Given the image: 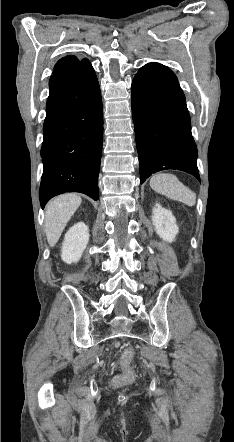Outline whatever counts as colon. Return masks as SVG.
Instances as JSON below:
<instances>
[{"instance_id": "colon-1", "label": "colon", "mask_w": 234, "mask_h": 442, "mask_svg": "<svg viewBox=\"0 0 234 442\" xmlns=\"http://www.w3.org/2000/svg\"><path fill=\"white\" fill-rule=\"evenodd\" d=\"M135 351L132 347H127L122 355L123 372L119 377H116L114 387L116 389H123L127 384H137L138 377L134 375V371L130 367V363L134 358Z\"/></svg>"}]
</instances>
